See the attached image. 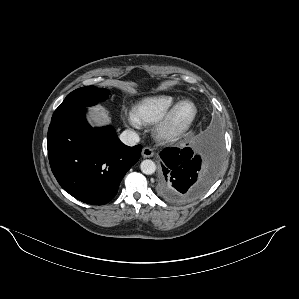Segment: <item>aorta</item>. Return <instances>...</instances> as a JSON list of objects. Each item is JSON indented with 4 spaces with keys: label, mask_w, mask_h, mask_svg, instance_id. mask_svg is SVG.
Returning a JSON list of instances; mask_svg holds the SVG:
<instances>
[{
    "label": "aorta",
    "mask_w": 299,
    "mask_h": 299,
    "mask_svg": "<svg viewBox=\"0 0 299 299\" xmlns=\"http://www.w3.org/2000/svg\"><path fill=\"white\" fill-rule=\"evenodd\" d=\"M141 171L146 175H151L156 171V164L149 159L143 160L140 164Z\"/></svg>",
    "instance_id": "762f6f07"
}]
</instances>
